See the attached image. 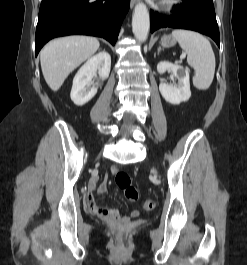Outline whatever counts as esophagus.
Returning <instances> with one entry per match:
<instances>
[{
    "label": "esophagus",
    "mask_w": 247,
    "mask_h": 265,
    "mask_svg": "<svg viewBox=\"0 0 247 265\" xmlns=\"http://www.w3.org/2000/svg\"><path fill=\"white\" fill-rule=\"evenodd\" d=\"M138 0H131V5L134 6Z\"/></svg>",
    "instance_id": "34e87169"
}]
</instances>
